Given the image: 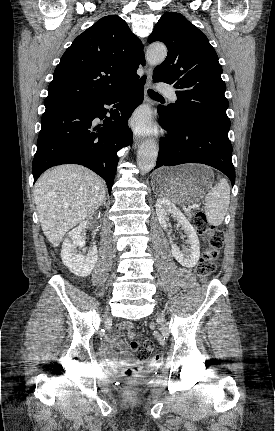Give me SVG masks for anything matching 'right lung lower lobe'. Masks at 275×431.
Masks as SVG:
<instances>
[{
    "mask_svg": "<svg viewBox=\"0 0 275 431\" xmlns=\"http://www.w3.org/2000/svg\"><path fill=\"white\" fill-rule=\"evenodd\" d=\"M145 81L143 76L104 97L47 107L32 162L34 182L52 166L74 163L100 175L110 193L118 164L116 153L133 141L128 119L143 101ZM105 105L115 109H105ZM95 118L104 121L98 124Z\"/></svg>",
    "mask_w": 275,
    "mask_h": 431,
    "instance_id": "obj_1",
    "label": "right lung lower lobe"
}]
</instances>
